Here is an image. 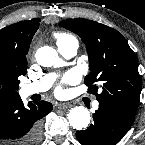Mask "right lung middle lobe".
<instances>
[{
    "label": "right lung middle lobe",
    "mask_w": 145,
    "mask_h": 145,
    "mask_svg": "<svg viewBox=\"0 0 145 145\" xmlns=\"http://www.w3.org/2000/svg\"><path fill=\"white\" fill-rule=\"evenodd\" d=\"M24 75L15 65L10 62H0V98L19 96L18 77Z\"/></svg>",
    "instance_id": "right-lung-middle-lobe-1"
}]
</instances>
